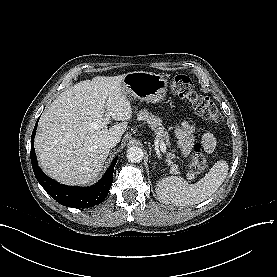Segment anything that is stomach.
Masks as SVG:
<instances>
[{"mask_svg":"<svg viewBox=\"0 0 277 277\" xmlns=\"http://www.w3.org/2000/svg\"><path fill=\"white\" fill-rule=\"evenodd\" d=\"M168 81L161 74L146 71H133L125 74L122 90L126 96H132L145 102L164 100Z\"/></svg>","mask_w":277,"mask_h":277,"instance_id":"1","label":"stomach"}]
</instances>
